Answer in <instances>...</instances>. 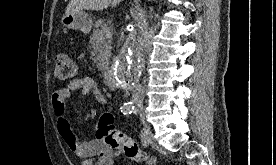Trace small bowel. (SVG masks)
Masks as SVG:
<instances>
[{
  "instance_id": "1",
  "label": "small bowel",
  "mask_w": 276,
  "mask_h": 165,
  "mask_svg": "<svg viewBox=\"0 0 276 165\" xmlns=\"http://www.w3.org/2000/svg\"><path fill=\"white\" fill-rule=\"evenodd\" d=\"M76 91L93 95L101 104L105 102L97 83L90 77L73 78L64 86L56 88L51 95V104L57 118L58 132L73 154L81 160V165H113L119 152L113 151L99 138L80 139L72 128L66 116V101Z\"/></svg>"
}]
</instances>
